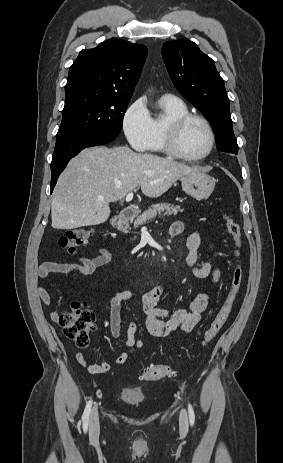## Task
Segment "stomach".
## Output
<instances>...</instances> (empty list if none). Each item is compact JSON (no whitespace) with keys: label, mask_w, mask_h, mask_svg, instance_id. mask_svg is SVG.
<instances>
[{"label":"stomach","mask_w":283,"mask_h":463,"mask_svg":"<svg viewBox=\"0 0 283 463\" xmlns=\"http://www.w3.org/2000/svg\"><path fill=\"white\" fill-rule=\"evenodd\" d=\"M181 185L187 195L197 200H205L214 190L215 179L200 171L183 176Z\"/></svg>","instance_id":"obj_1"}]
</instances>
